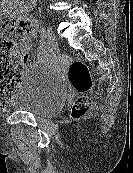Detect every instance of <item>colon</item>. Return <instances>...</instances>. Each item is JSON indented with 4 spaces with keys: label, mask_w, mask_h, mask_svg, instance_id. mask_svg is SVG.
<instances>
[{
    "label": "colon",
    "mask_w": 133,
    "mask_h": 173,
    "mask_svg": "<svg viewBox=\"0 0 133 173\" xmlns=\"http://www.w3.org/2000/svg\"><path fill=\"white\" fill-rule=\"evenodd\" d=\"M30 23L17 20L5 14L0 19V107L7 106L22 80V58L16 49V44L29 33ZM71 86L79 93L88 92L92 87V78L87 65L81 61L73 62L68 70ZM90 109V100L81 97L72 107L74 118L83 117Z\"/></svg>",
    "instance_id": "1"
}]
</instances>
